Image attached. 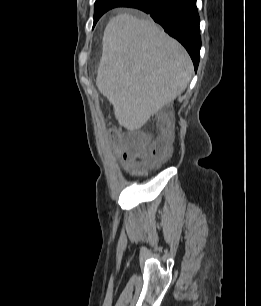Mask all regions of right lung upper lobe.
Returning a JSON list of instances; mask_svg holds the SVG:
<instances>
[{
	"label": "right lung upper lobe",
	"mask_w": 261,
	"mask_h": 306,
	"mask_svg": "<svg viewBox=\"0 0 261 306\" xmlns=\"http://www.w3.org/2000/svg\"><path fill=\"white\" fill-rule=\"evenodd\" d=\"M102 1H106V0H96L95 4L96 3H99V2H102ZM129 1V0H128Z\"/></svg>",
	"instance_id": "obj_1"
}]
</instances>
